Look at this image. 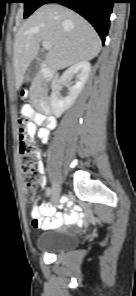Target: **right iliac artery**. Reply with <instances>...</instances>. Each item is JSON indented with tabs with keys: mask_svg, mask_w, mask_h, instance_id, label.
Instances as JSON below:
<instances>
[{
	"mask_svg": "<svg viewBox=\"0 0 136 296\" xmlns=\"http://www.w3.org/2000/svg\"><path fill=\"white\" fill-rule=\"evenodd\" d=\"M51 188L48 187L47 190H46V194H47V198H50L51 197Z\"/></svg>",
	"mask_w": 136,
	"mask_h": 296,
	"instance_id": "right-iliac-artery-1",
	"label": "right iliac artery"
}]
</instances>
